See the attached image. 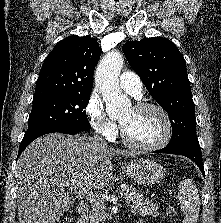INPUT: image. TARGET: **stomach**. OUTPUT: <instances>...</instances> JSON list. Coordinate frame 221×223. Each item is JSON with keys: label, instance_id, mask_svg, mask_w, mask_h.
I'll use <instances>...</instances> for the list:
<instances>
[{"label": "stomach", "instance_id": "obj_1", "mask_svg": "<svg viewBox=\"0 0 221 223\" xmlns=\"http://www.w3.org/2000/svg\"><path fill=\"white\" fill-rule=\"evenodd\" d=\"M121 167L128 177L141 185L156 184L160 182L165 175V169L151 160L139 159L131 162H124Z\"/></svg>", "mask_w": 221, "mask_h": 223}]
</instances>
